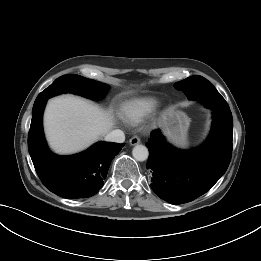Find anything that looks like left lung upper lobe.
Returning <instances> with one entry per match:
<instances>
[{
    "instance_id": "obj_1",
    "label": "left lung upper lobe",
    "mask_w": 261,
    "mask_h": 261,
    "mask_svg": "<svg viewBox=\"0 0 261 261\" xmlns=\"http://www.w3.org/2000/svg\"><path fill=\"white\" fill-rule=\"evenodd\" d=\"M207 81L208 80L203 78L202 76L195 75L175 83L174 87L178 90L183 91L187 96L190 91L197 88L201 83H205Z\"/></svg>"
}]
</instances>
